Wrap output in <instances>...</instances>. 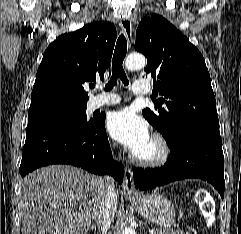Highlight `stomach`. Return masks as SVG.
<instances>
[{
    "instance_id": "0dacf381",
    "label": "stomach",
    "mask_w": 241,
    "mask_h": 234,
    "mask_svg": "<svg viewBox=\"0 0 241 234\" xmlns=\"http://www.w3.org/2000/svg\"><path fill=\"white\" fill-rule=\"evenodd\" d=\"M147 221L162 229L170 228L175 221V207L164 196L153 193L140 197H128Z\"/></svg>"
}]
</instances>
